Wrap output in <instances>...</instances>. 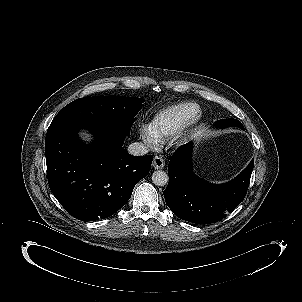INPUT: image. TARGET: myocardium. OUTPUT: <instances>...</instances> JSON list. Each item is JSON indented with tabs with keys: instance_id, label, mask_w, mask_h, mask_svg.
Returning a JSON list of instances; mask_svg holds the SVG:
<instances>
[{
	"instance_id": "myocardium-1",
	"label": "myocardium",
	"mask_w": 302,
	"mask_h": 302,
	"mask_svg": "<svg viewBox=\"0 0 302 302\" xmlns=\"http://www.w3.org/2000/svg\"><path fill=\"white\" fill-rule=\"evenodd\" d=\"M202 120V113L198 111L191 118H189L178 130L170 137V144L180 145L182 144L188 136L196 129Z\"/></svg>"
}]
</instances>
